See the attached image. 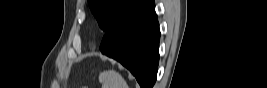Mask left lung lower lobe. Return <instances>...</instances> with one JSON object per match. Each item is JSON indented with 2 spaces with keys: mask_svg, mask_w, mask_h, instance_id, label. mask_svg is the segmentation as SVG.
Instances as JSON below:
<instances>
[{
  "mask_svg": "<svg viewBox=\"0 0 267 88\" xmlns=\"http://www.w3.org/2000/svg\"><path fill=\"white\" fill-rule=\"evenodd\" d=\"M159 39L154 1L142 0L105 33L100 50L129 69L141 88H152L157 75Z\"/></svg>",
  "mask_w": 267,
  "mask_h": 88,
  "instance_id": "left-lung-lower-lobe-1",
  "label": "left lung lower lobe"
}]
</instances>
